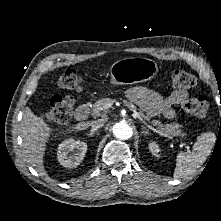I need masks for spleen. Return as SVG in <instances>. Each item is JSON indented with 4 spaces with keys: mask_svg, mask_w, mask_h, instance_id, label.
<instances>
[{
    "mask_svg": "<svg viewBox=\"0 0 221 221\" xmlns=\"http://www.w3.org/2000/svg\"><path fill=\"white\" fill-rule=\"evenodd\" d=\"M216 141L212 132L202 133L193 145L192 152L179 151L176 155L174 178H184L193 174L210 155Z\"/></svg>",
    "mask_w": 221,
    "mask_h": 221,
    "instance_id": "obj_1",
    "label": "spleen"
}]
</instances>
